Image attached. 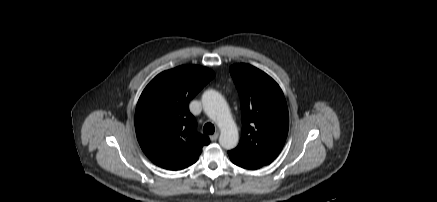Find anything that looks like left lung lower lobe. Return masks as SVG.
<instances>
[{"instance_id": "0a47b994", "label": "left lung lower lobe", "mask_w": 437, "mask_h": 202, "mask_svg": "<svg viewBox=\"0 0 437 202\" xmlns=\"http://www.w3.org/2000/svg\"><path fill=\"white\" fill-rule=\"evenodd\" d=\"M228 154H229V157H230L231 161L235 165H237L239 167H242V168H245V169H252V170L258 169L257 167L248 164L247 162L243 161L242 159H240V158H238V157H236V156H234V155H232L230 153H228Z\"/></svg>"}]
</instances>
